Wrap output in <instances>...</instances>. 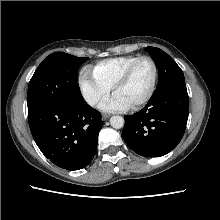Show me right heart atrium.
<instances>
[{
  "label": "right heart atrium",
  "mask_w": 220,
  "mask_h": 220,
  "mask_svg": "<svg viewBox=\"0 0 220 220\" xmlns=\"http://www.w3.org/2000/svg\"><path fill=\"white\" fill-rule=\"evenodd\" d=\"M78 82L83 99L92 107L97 106L111 91V87L100 81L88 67L82 69Z\"/></svg>",
  "instance_id": "right-heart-atrium-1"
}]
</instances>
